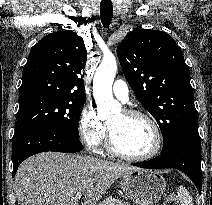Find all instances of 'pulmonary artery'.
I'll return each mask as SVG.
<instances>
[{
	"instance_id": "obj_1",
	"label": "pulmonary artery",
	"mask_w": 212,
	"mask_h": 205,
	"mask_svg": "<svg viewBox=\"0 0 212 205\" xmlns=\"http://www.w3.org/2000/svg\"><path fill=\"white\" fill-rule=\"evenodd\" d=\"M114 95L122 101L128 100L129 89L127 84L123 80H116L113 84Z\"/></svg>"
}]
</instances>
